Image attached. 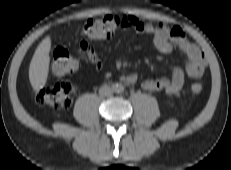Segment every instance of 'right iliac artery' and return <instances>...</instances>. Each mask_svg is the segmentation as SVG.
Instances as JSON below:
<instances>
[{
    "label": "right iliac artery",
    "mask_w": 231,
    "mask_h": 170,
    "mask_svg": "<svg viewBox=\"0 0 231 170\" xmlns=\"http://www.w3.org/2000/svg\"><path fill=\"white\" fill-rule=\"evenodd\" d=\"M112 87H113V88H115V87H116V85H113Z\"/></svg>",
    "instance_id": "obj_1"
}]
</instances>
